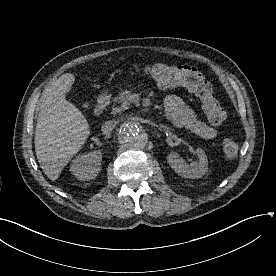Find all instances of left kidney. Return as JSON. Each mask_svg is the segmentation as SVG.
I'll return each instance as SVG.
<instances>
[{"label":"left kidney","mask_w":276,"mask_h":276,"mask_svg":"<svg viewBox=\"0 0 276 276\" xmlns=\"http://www.w3.org/2000/svg\"><path fill=\"white\" fill-rule=\"evenodd\" d=\"M194 153L198 157V161H194L190 165H186L177 152L168 154L167 162L170 167L183 178H201L208 170L207 156L201 148L196 149Z\"/></svg>","instance_id":"5707ae66"}]
</instances>
